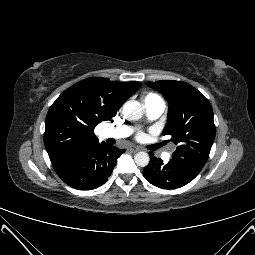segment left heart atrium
I'll return each mask as SVG.
<instances>
[{
	"instance_id": "obj_1",
	"label": "left heart atrium",
	"mask_w": 255,
	"mask_h": 255,
	"mask_svg": "<svg viewBox=\"0 0 255 255\" xmlns=\"http://www.w3.org/2000/svg\"><path fill=\"white\" fill-rule=\"evenodd\" d=\"M142 137H143V134H141V133L137 135L138 139H141Z\"/></svg>"
}]
</instances>
